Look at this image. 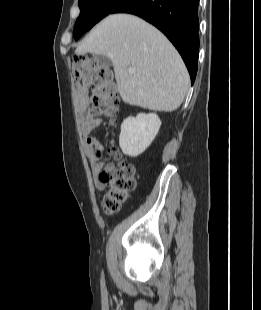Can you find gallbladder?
<instances>
[{
  "mask_svg": "<svg viewBox=\"0 0 261 310\" xmlns=\"http://www.w3.org/2000/svg\"><path fill=\"white\" fill-rule=\"evenodd\" d=\"M93 60L102 67H110L111 59L105 55L96 54L93 56Z\"/></svg>",
  "mask_w": 261,
  "mask_h": 310,
  "instance_id": "bac80fb5",
  "label": "gallbladder"
}]
</instances>
